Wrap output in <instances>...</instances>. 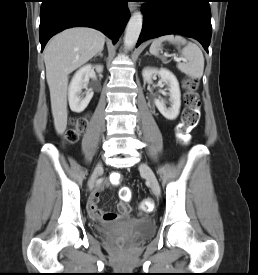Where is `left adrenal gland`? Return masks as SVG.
<instances>
[{"instance_id":"a2214340","label":"left adrenal gland","mask_w":258,"mask_h":275,"mask_svg":"<svg viewBox=\"0 0 258 275\" xmlns=\"http://www.w3.org/2000/svg\"><path fill=\"white\" fill-rule=\"evenodd\" d=\"M149 53L148 52H146V54L145 55H148Z\"/></svg>"}]
</instances>
